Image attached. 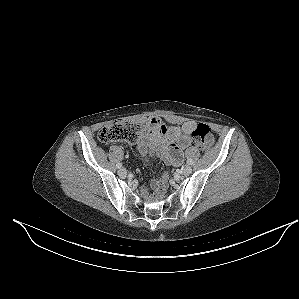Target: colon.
Returning a JSON list of instances; mask_svg holds the SVG:
<instances>
[{"label":"colon","instance_id":"colon-1","mask_svg":"<svg viewBox=\"0 0 299 299\" xmlns=\"http://www.w3.org/2000/svg\"><path fill=\"white\" fill-rule=\"evenodd\" d=\"M142 131L143 127L140 124L126 121H114L107 124L99 131L98 139L106 144L120 141L134 143ZM191 136L195 145L199 148L203 149L211 145L212 138L210 129L206 124H197ZM157 191L160 195L165 192V181L160 184Z\"/></svg>","mask_w":299,"mask_h":299}]
</instances>
